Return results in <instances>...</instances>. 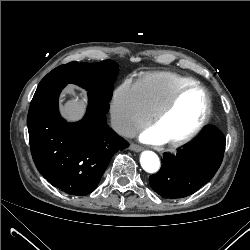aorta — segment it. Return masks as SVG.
<instances>
[{
    "mask_svg": "<svg viewBox=\"0 0 250 250\" xmlns=\"http://www.w3.org/2000/svg\"><path fill=\"white\" fill-rule=\"evenodd\" d=\"M142 168L148 173H155L160 167L158 156L152 151H144L140 157Z\"/></svg>",
    "mask_w": 250,
    "mask_h": 250,
    "instance_id": "1",
    "label": "aorta"
}]
</instances>
